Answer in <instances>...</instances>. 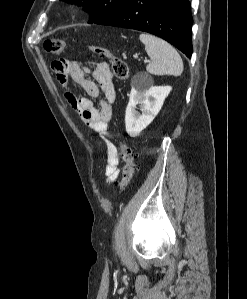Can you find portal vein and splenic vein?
Masks as SVG:
<instances>
[{
  "mask_svg": "<svg viewBox=\"0 0 247 299\" xmlns=\"http://www.w3.org/2000/svg\"><path fill=\"white\" fill-rule=\"evenodd\" d=\"M144 62H145V63H147V62H148V60H144Z\"/></svg>",
  "mask_w": 247,
  "mask_h": 299,
  "instance_id": "1",
  "label": "portal vein and splenic vein"
}]
</instances>
